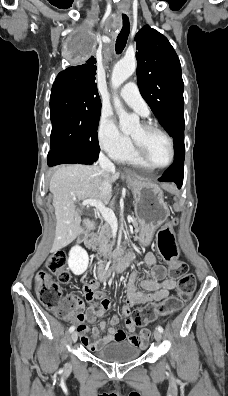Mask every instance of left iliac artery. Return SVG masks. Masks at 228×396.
<instances>
[{
	"label": "left iliac artery",
	"mask_w": 228,
	"mask_h": 396,
	"mask_svg": "<svg viewBox=\"0 0 228 396\" xmlns=\"http://www.w3.org/2000/svg\"><path fill=\"white\" fill-rule=\"evenodd\" d=\"M157 329H158V331H159L160 333H163V328H162V326H158Z\"/></svg>",
	"instance_id": "obj_1"
}]
</instances>
